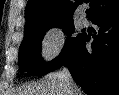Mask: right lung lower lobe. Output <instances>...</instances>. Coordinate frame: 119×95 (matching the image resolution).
Returning <instances> with one entry per match:
<instances>
[{
	"mask_svg": "<svg viewBox=\"0 0 119 95\" xmlns=\"http://www.w3.org/2000/svg\"><path fill=\"white\" fill-rule=\"evenodd\" d=\"M92 22L98 26L92 49H86L90 37L81 34L52 71L68 67L88 95H119V9Z\"/></svg>",
	"mask_w": 119,
	"mask_h": 95,
	"instance_id": "obj_1",
	"label": "right lung lower lobe"
}]
</instances>
